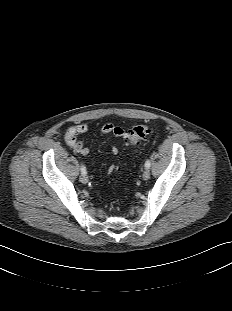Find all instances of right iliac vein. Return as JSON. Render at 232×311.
Listing matches in <instances>:
<instances>
[{"mask_svg":"<svg viewBox=\"0 0 232 311\" xmlns=\"http://www.w3.org/2000/svg\"><path fill=\"white\" fill-rule=\"evenodd\" d=\"M80 181L83 183V184H86L88 182V177L85 175V174H82L80 176Z\"/></svg>","mask_w":232,"mask_h":311,"instance_id":"obj_1","label":"right iliac vein"}]
</instances>
